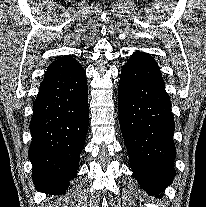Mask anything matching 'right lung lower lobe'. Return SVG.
Returning <instances> with one entry per match:
<instances>
[{"instance_id": "98d812e1", "label": "right lung lower lobe", "mask_w": 206, "mask_h": 207, "mask_svg": "<svg viewBox=\"0 0 206 207\" xmlns=\"http://www.w3.org/2000/svg\"><path fill=\"white\" fill-rule=\"evenodd\" d=\"M88 110L83 67L68 56L49 65L30 121L29 159L37 191L65 194L77 174L88 131Z\"/></svg>"}]
</instances>
